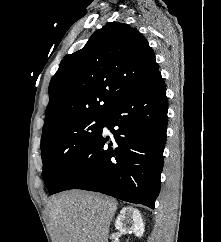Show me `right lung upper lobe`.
Returning <instances> with one entry per match:
<instances>
[{"label":"right lung upper lobe","mask_w":221,"mask_h":242,"mask_svg":"<svg viewBox=\"0 0 221 242\" xmlns=\"http://www.w3.org/2000/svg\"><path fill=\"white\" fill-rule=\"evenodd\" d=\"M158 64L146 38L121 22L107 23L67 55L50 81L43 134L89 115H103L144 85Z\"/></svg>","instance_id":"obj_1"}]
</instances>
